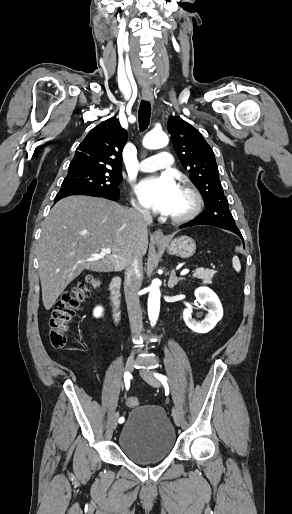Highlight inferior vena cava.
I'll return each mask as SVG.
<instances>
[{
  "instance_id": "obj_1",
  "label": "inferior vena cava",
  "mask_w": 292,
  "mask_h": 514,
  "mask_svg": "<svg viewBox=\"0 0 292 514\" xmlns=\"http://www.w3.org/2000/svg\"><path fill=\"white\" fill-rule=\"evenodd\" d=\"M136 212V210H135ZM140 214V232H147V226L152 224V216L148 210H138ZM142 274V254L135 252L125 270V298L132 334H141L143 330L142 312L139 300L140 276Z\"/></svg>"
}]
</instances>
